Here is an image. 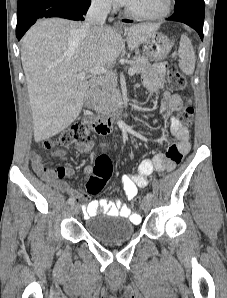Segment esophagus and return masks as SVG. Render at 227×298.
Returning <instances> with one entry per match:
<instances>
[{"instance_id":"34e87169","label":"esophagus","mask_w":227,"mask_h":298,"mask_svg":"<svg viewBox=\"0 0 227 298\" xmlns=\"http://www.w3.org/2000/svg\"><path fill=\"white\" fill-rule=\"evenodd\" d=\"M114 25H115V27H120V23L119 22H115Z\"/></svg>"}]
</instances>
